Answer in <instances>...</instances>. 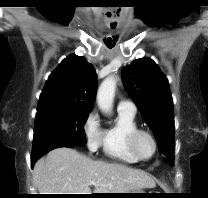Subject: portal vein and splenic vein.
Wrapping results in <instances>:
<instances>
[{
  "label": "portal vein and splenic vein",
  "instance_id": "obj_1",
  "mask_svg": "<svg viewBox=\"0 0 208 198\" xmlns=\"http://www.w3.org/2000/svg\"><path fill=\"white\" fill-rule=\"evenodd\" d=\"M95 184V181H90V185H94Z\"/></svg>",
  "mask_w": 208,
  "mask_h": 198
}]
</instances>
